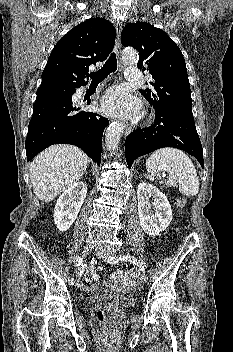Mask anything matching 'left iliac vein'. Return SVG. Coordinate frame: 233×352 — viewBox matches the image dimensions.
<instances>
[{
	"label": "left iliac vein",
	"instance_id": "obj_1",
	"mask_svg": "<svg viewBox=\"0 0 233 352\" xmlns=\"http://www.w3.org/2000/svg\"><path fill=\"white\" fill-rule=\"evenodd\" d=\"M97 256L104 260H107L109 257H114V253L109 249H102L97 251ZM141 283H145L147 281V276L145 273H142L139 278Z\"/></svg>",
	"mask_w": 233,
	"mask_h": 352
}]
</instances>
